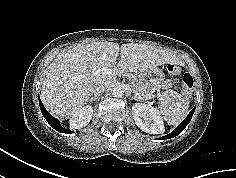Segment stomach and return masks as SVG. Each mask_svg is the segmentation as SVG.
<instances>
[{"mask_svg": "<svg viewBox=\"0 0 236 178\" xmlns=\"http://www.w3.org/2000/svg\"><path fill=\"white\" fill-rule=\"evenodd\" d=\"M137 77L144 88L150 91L164 80L165 75L160 68L155 67L146 71H140Z\"/></svg>", "mask_w": 236, "mask_h": 178, "instance_id": "obj_1", "label": "stomach"}]
</instances>
